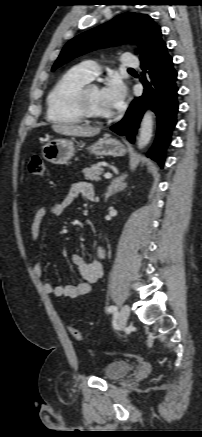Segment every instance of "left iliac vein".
I'll list each match as a JSON object with an SVG mask.
<instances>
[{
  "label": "left iliac vein",
  "mask_w": 202,
  "mask_h": 437,
  "mask_svg": "<svg viewBox=\"0 0 202 437\" xmlns=\"http://www.w3.org/2000/svg\"><path fill=\"white\" fill-rule=\"evenodd\" d=\"M130 314V307L128 305H124L118 315V323L120 327H124L128 320Z\"/></svg>",
  "instance_id": "1"
}]
</instances>
